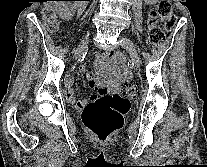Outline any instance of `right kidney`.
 I'll list each match as a JSON object with an SVG mask.
<instances>
[{"label":"right kidney","mask_w":207,"mask_h":167,"mask_svg":"<svg viewBox=\"0 0 207 167\" xmlns=\"http://www.w3.org/2000/svg\"><path fill=\"white\" fill-rule=\"evenodd\" d=\"M55 9L62 19L69 20L74 15L76 7L71 2L55 1Z\"/></svg>","instance_id":"ca27d5eb"}]
</instances>
